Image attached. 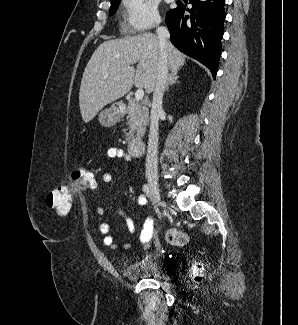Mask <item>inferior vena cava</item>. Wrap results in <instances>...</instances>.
<instances>
[{
	"mask_svg": "<svg viewBox=\"0 0 298 325\" xmlns=\"http://www.w3.org/2000/svg\"><path fill=\"white\" fill-rule=\"evenodd\" d=\"M160 20H156V32L159 38L160 56L158 62V72L156 84L153 92V100L150 112L149 140L146 154V177L148 181H156L158 177V138H159V116L162 112L163 90L168 80V60L166 52V42L170 38L167 26H159Z\"/></svg>",
	"mask_w": 298,
	"mask_h": 325,
	"instance_id": "602c4592",
	"label": "inferior vena cava"
}]
</instances>
